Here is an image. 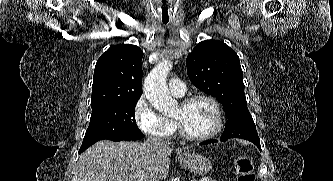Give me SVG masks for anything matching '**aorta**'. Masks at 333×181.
<instances>
[{
  "mask_svg": "<svg viewBox=\"0 0 333 181\" xmlns=\"http://www.w3.org/2000/svg\"><path fill=\"white\" fill-rule=\"evenodd\" d=\"M172 68V62L162 61L157 64L145 78L143 92L151 105L163 114L170 113L176 106L166 85L168 73Z\"/></svg>",
  "mask_w": 333,
  "mask_h": 181,
  "instance_id": "aorta-1",
  "label": "aorta"
}]
</instances>
